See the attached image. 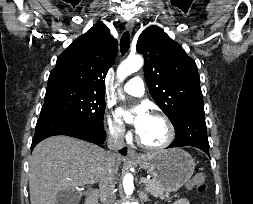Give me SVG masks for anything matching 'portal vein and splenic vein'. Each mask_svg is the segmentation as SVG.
<instances>
[{"label":"portal vein and splenic vein","instance_id":"obj_1","mask_svg":"<svg viewBox=\"0 0 253 204\" xmlns=\"http://www.w3.org/2000/svg\"><path fill=\"white\" fill-rule=\"evenodd\" d=\"M144 183H148V180H143Z\"/></svg>","mask_w":253,"mask_h":204}]
</instances>
